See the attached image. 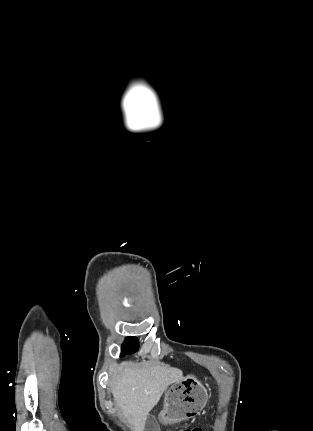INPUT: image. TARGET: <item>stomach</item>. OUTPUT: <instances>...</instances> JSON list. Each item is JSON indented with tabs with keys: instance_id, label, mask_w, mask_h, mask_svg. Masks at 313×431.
Returning <instances> with one entry per match:
<instances>
[{
	"instance_id": "0dacf381",
	"label": "stomach",
	"mask_w": 313,
	"mask_h": 431,
	"mask_svg": "<svg viewBox=\"0 0 313 431\" xmlns=\"http://www.w3.org/2000/svg\"><path fill=\"white\" fill-rule=\"evenodd\" d=\"M207 400L205 387L194 376H187L173 383L165 393L164 408L159 418L164 424L193 419L205 407Z\"/></svg>"
}]
</instances>
